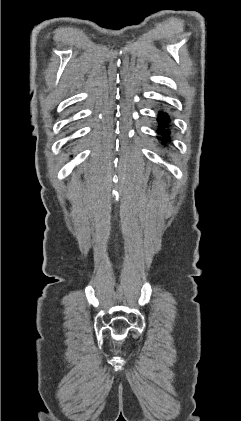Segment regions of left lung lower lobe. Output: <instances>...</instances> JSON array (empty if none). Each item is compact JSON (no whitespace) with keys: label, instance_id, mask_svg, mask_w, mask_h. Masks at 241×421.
Segmentation results:
<instances>
[{"label":"left lung lower lobe","instance_id":"0a47b994","mask_svg":"<svg viewBox=\"0 0 241 421\" xmlns=\"http://www.w3.org/2000/svg\"><path fill=\"white\" fill-rule=\"evenodd\" d=\"M158 122H159V128L157 129V133L163 136V138H159V140L165 143L166 139L169 138L170 120H169L168 114L164 112H160Z\"/></svg>","mask_w":241,"mask_h":421}]
</instances>
